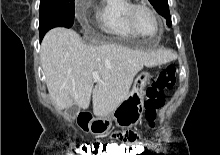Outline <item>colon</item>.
<instances>
[{
    "mask_svg": "<svg viewBox=\"0 0 220 155\" xmlns=\"http://www.w3.org/2000/svg\"><path fill=\"white\" fill-rule=\"evenodd\" d=\"M176 83V68L172 65L163 69L156 79L150 84L145 93V116L151 127L159 109L164 105L165 91L170 90ZM114 137V135H113ZM130 142L129 146H106V144L95 145L94 143L79 144L78 152L82 155H145L151 151V146H144L143 142Z\"/></svg>",
    "mask_w": 220,
    "mask_h": 155,
    "instance_id": "obj_1",
    "label": "colon"
}]
</instances>
